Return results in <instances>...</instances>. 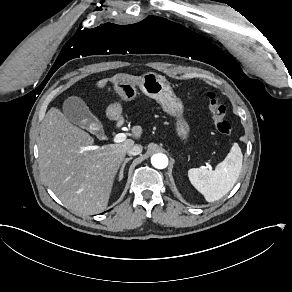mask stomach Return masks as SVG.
Listing matches in <instances>:
<instances>
[{"label": "stomach", "mask_w": 292, "mask_h": 292, "mask_svg": "<svg viewBox=\"0 0 292 292\" xmlns=\"http://www.w3.org/2000/svg\"><path fill=\"white\" fill-rule=\"evenodd\" d=\"M136 84L144 94L156 100L164 112L173 118L177 138L183 145L188 144L191 128L185 117L184 102L175 95L166 78L153 72L144 74L139 80L132 83L122 78L118 82V86L124 91L121 97L133 99L136 93ZM119 114L120 104L117 102L108 110V115L111 118H117Z\"/></svg>", "instance_id": "0dacf381"}]
</instances>
